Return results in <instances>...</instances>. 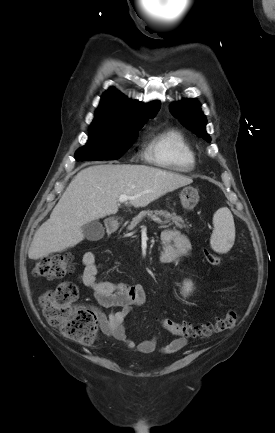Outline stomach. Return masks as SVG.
I'll return each instance as SVG.
<instances>
[{"mask_svg":"<svg viewBox=\"0 0 275 433\" xmlns=\"http://www.w3.org/2000/svg\"><path fill=\"white\" fill-rule=\"evenodd\" d=\"M180 200L183 208L193 210L199 202L197 189L190 186L183 188L180 192Z\"/></svg>","mask_w":275,"mask_h":433,"instance_id":"0dacf381","label":"stomach"}]
</instances>
